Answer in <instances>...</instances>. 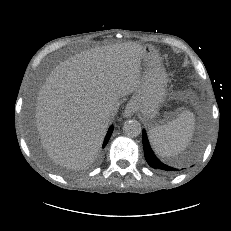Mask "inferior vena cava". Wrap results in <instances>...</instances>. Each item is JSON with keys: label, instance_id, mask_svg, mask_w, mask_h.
I'll use <instances>...</instances> for the list:
<instances>
[{"label": "inferior vena cava", "instance_id": "602c4592", "mask_svg": "<svg viewBox=\"0 0 231 231\" xmlns=\"http://www.w3.org/2000/svg\"><path fill=\"white\" fill-rule=\"evenodd\" d=\"M114 111V108L110 107L105 110V114L109 115Z\"/></svg>", "mask_w": 231, "mask_h": 231}]
</instances>
